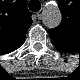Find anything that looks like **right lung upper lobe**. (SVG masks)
<instances>
[{
	"mask_svg": "<svg viewBox=\"0 0 80 80\" xmlns=\"http://www.w3.org/2000/svg\"><path fill=\"white\" fill-rule=\"evenodd\" d=\"M31 24V15L25 4L15 2L14 7L1 16L0 46L5 49L19 46Z\"/></svg>",
	"mask_w": 80,
	"mask_h": 80,
	"instance_id": "1",
	"label": "right lung upper lobe"
}]
</instances>
